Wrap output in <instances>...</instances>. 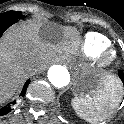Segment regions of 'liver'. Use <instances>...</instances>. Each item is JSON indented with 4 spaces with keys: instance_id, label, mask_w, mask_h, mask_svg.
<instances>
[{
    "instance_id": "6515ba94",
    "label": "liver",
    "mask_w": 124,
    "mask_h": 124,
    "mask_svg": "<svg viewBox=\"0 0 124 124\" xmlns=\"http://www.w3.org/2000/svg\"><path fill=\"white\" fill-rule=\"evenodd\" d=\"M79 38L73 28L57 29L41 23L22 24L9 31L0 42V104L9 99L24 78L35 73L59 52L75 53Z\"/></svg>"
}]
</instances>
